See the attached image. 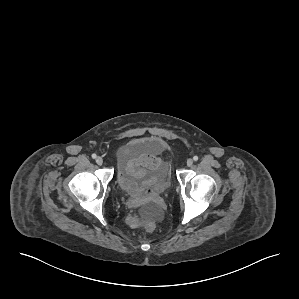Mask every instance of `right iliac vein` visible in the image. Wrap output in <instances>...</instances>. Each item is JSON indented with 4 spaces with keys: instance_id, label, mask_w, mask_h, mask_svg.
<instances>
[{
    "instance_id": "63e3f726",
    "label": "right iliac vein",
    "mask_w": 299,
    "mask_h": 299,
    "mask_svg": "<svg viewBox=\"0 0 299 299\" xmlns=\"http://www.w3.org/2000/svg\"><path fill=\"white\" fill-rule=\"evenodd\" d=\"M96 163H97L98 165H102V164H103V158L100 157V156H98V157L96 158Z\"/></svg>"
}]
</instances>
